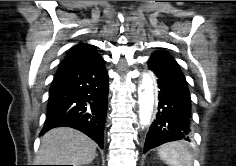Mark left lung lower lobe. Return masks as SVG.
I'll return each instance as SVG.
<instances>
[{"mask_svg": "<svg viewBox=\"0 0 236 166\" xmlns=\"http://www.w3.org/2000/svg\"><path fill=\"white\" fill-rule=\"evenodd\" d=\"M157 78L158 112L144 143V153L169 141L192 137L191 97L185 76L168 54H157L147 62Z\"/></svg>", "mask_w": 236, "mask_h": 166, "instance_id": "1", "label": "left lung lower lobe"}]
</instances>
